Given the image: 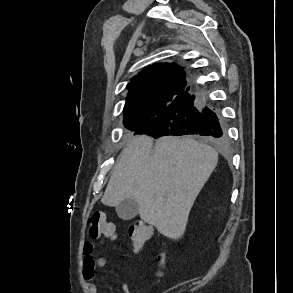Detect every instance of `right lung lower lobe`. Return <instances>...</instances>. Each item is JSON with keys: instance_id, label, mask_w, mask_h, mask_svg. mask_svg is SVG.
<instances>
[{"instance_id": "98d812e1", "label": "right lung lower lobe", "mask_w": 293, "mask_h": 293, "mask_svg": "<svg viewBox=\"0 0 293 293\" xmlns=\"http://www.w3.org/2000/svg\"><path fill=\"white\" fill-rule=\"evenodd\" d=\"M134 134H147L154 138L164 135L197 134L224 140L226 137L217 114L204 107L200 96L195 97L189 87L158 116L151 119Z\"/></svg>"}]
</instances>
